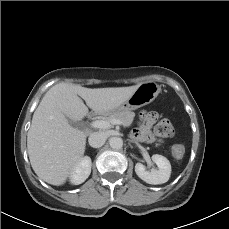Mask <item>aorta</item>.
<instances>
[{
  "label": "aorta",
  "instance_id": "obj_1",
  "mask_svg": "<svg viewBox=\"0 0 229 229\" xmlns=\"http://www.w3.org/2000/svg\"><path fill=\"white\" fill-rule=\"evenodd\" d=\"M109 144L112 149H121L123 146V140L120 137H112L109 139Z\"/></svg>",
  "mask_w": 229,
  "mask_h": 229
}]
</instances>
